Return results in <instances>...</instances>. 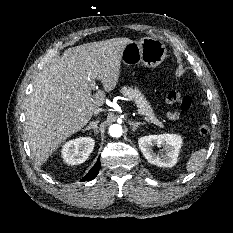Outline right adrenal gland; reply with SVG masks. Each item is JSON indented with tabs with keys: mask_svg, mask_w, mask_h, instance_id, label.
Returning <instances> with one entry per match:
<instances>
[{
	"mask_svg": "<svg viewBox=\"0 0 233 233\" xmlns=\"http://www.w3.org/2000/svg\"><path fill=\"white\" fill-rule=\"evenodd\" d=\"M99 121H92L89 123V125L85 128V129H82L83 132L87 131V130H90V129H93L95 133H97V125H98Z\"/></svg>",
	"mask_w": 233,
	"mask_h": 233,
	"instance_id": "obj_1",
	"label": "right adrenal gland"
}]
</instances>
